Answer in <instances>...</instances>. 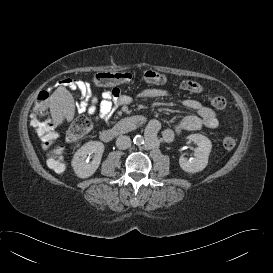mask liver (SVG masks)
Instances as JSON below:
<instances>
[{
	"mask_svg": "<svg viewBox=\"0 0 273 273\" xmlns=\"http://www.w3.org/2000/svg\"><path fill=\"white\" fill-rule=\"evenodd\" d=\"M49 108L55 126L62 124L65 119L70 122L74 118V98L65 87H58L53 92L49 99Z\"/></svg>",
	"mask_w": 273,
	"mask_h": 273,
	"instance_id": "liver-1",
	"label": "liver"
}]
</instances>
